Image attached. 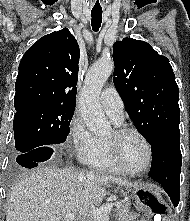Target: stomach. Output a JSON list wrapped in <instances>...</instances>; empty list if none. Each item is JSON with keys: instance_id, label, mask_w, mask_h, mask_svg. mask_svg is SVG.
<instances>
[{"instance_id": "stomach-1", "label": "stomach", "mask_w": 190, "mask_h": 221, "mask_svg": "<svg viewBox=\"0 0 190 221\" xmlns=\"http://www.w3.org/2000/svg\"><path fill=\"white\" fill-rule=\"evenodd\" d=\"M130 192L133 198L129 200L130 216L147 218H127V221H169V208L155 186L137 183L132 186Z\"/></svg>"}]
</instances>
